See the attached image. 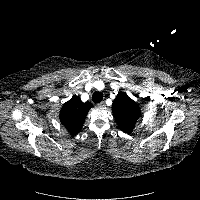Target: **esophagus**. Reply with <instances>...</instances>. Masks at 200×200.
<instances>
[{"label": "esophagus", "instance_id": "34e87169", "mask_svg": "<svg viewBox=\"0 0 200 200\" xmlns=\"http://www.w3.org/2000/svg\"><path fill=\"white\" fill-rule=\"evenodd\" d=\"M105 106V102L104 101H102V102H100L99 104H98V107H104Z\"/></svg>", "mask_w": 200, "mask_h": 200}]
</instances>
